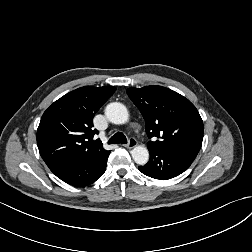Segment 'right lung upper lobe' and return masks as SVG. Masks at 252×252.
Instances as JSON below:
<instances>
[{
  "label": "right lung upper lobe",
  "mask_w": 252,
  "mask_h": 252,
  "mask_svg": "<svg viewBox=\"0 0 252 252\" xmlns=\"http://www.w3.org/2000/svg\"><path fill=\"white\" fill-rule=\"evenodd\" d=\"M113 86H85L73 90L55 101L43 114L37 145L41 157L53 172L82 159L106 157L110 151L93 136V116L113 95Z\"/></svg>",
  "instance_id": "obj_1"
}]
</instances>
